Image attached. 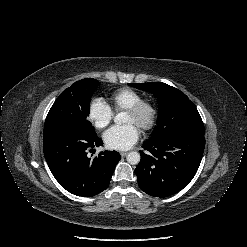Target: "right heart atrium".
I'll list each match as a JSON object with an SVG mask.
<instances>
[{"label":"right heart atrium","instance_id":"right-heart-atrium-1","mask_svg":"<svg viewBox=\"0 0 247 247\" xmlns=\"http://www.w3.org/2000/svg\"><path fill=\"white\" fill-rule=\"evenodd\" d=\"M88 118L98 129H103L113 119L111 107L101 98H94L88 105Z\"/></svg>","mask_w":247,"mask_h":247}]
</instances>
